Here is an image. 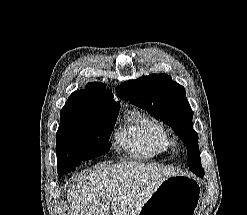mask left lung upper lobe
Wrapping results in <instances>:
<instances>
[{"label":"left lung upper lobe","mask_w":247,"mask_h":215,"mask_svg":"<svg viewBox=\"0 0 247 215\" xmlns=\"http://www.w3.org/2000/svg\"><path fill=\"white\" fill-rule=\"evenodd\" d=\"M117 94L173 128L186 145L189 169L192 172L202 169L198 134L192 124L193 111L183 86L166 74H151L122 83Z\"/></svg>","instance_id":"1"}]
</instances>
